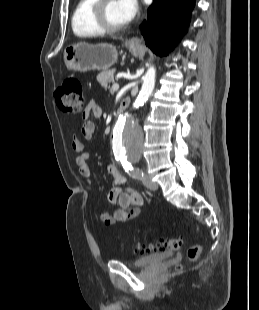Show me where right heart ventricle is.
Masks as SVG:
<instances>
[{
	"label": "right heart ventricle",
	"mask_w": 259,
	"mask_h": 310,
	"mask_svg": "<svg viewBox=\"0 0 259 310\" xmlns=\"http://www.w3.org/2000/svg\"><path fill=\"white\" fill-rule=\"evenodd\" d=\"M96 0H78L73 11L71 25L75 35L82 38L95 37L101 32L91 19V9Z\"/></svg>",
	"instance_id": "obj_1"
}]
</instances>
